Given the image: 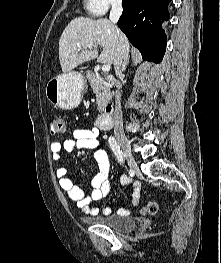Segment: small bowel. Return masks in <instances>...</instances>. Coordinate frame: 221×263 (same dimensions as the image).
I'll return each mask as SVG.
<instances>
[{"mask_svg": "<svg viewBox=\"0 0 221 263\" xmlns=\"http://www.w3.org/2000/svg\"><path fill=\"white\" fill-rule=\"evenodd\" d=\"M100 130L98 127L91 129H76L72 136L63 140L62 142H52L50 150L54 161H59L62 158L63 152H70L75 149H88L93 152L94 158L98 166V173L92 178L91 191L88 195L79 188L74 180L68 176V169L60 166L56 169V177L60 188L76 203L77 207L83 213L89 215H96L99 209L93 206V203L100 201L111 193V183L109 181L110 160L106 151L102 148L98 139ZM123 185H133L131 193V204L138 206L140 204L141 184L133 181L132 177L128 175H121L118 178ZM113 212L111 207L102 209L104 215H110ZM127 207H120L117 213L120 215L128 214Z\"/></svg>", "mask_w": 221, "mask_h": 263, "instance_id": "1", "label": "small bowel"}]
</instances>
